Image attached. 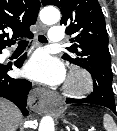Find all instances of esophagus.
Returning <instances> with one entry per match:
<instances>
[{
  "label": "esophagus",
  "instance_id": "esophagus-1",
  "mask_svg": "<svg viewBox=\"0 0 117 131\" xmlns=\"http://www.w3.org/2000/svg\"><path fill=\"white\" fill-rule=\"evenodd\" d=\"M39 32H44L46 27L39 22L38 23ZM52 93L42 89L36 88L32 91L29 96V105L30 108L38 113H47L51 108Z\"/></svg>",
  "mask_w": 117,
  "mask_h": 131
}]
</instances>
